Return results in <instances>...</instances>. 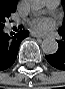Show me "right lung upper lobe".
<instances>
[{"instance_id":"right-lung-upper-lobe-1","label":"right lung upper lobe","mask_w":65,"mask_h":89,"mask_svg":"<svg viewBox=\"0 0 65 89\" xmlns=\"http://www.w3.org/2000/svg\"><path fill=\"white\" fill-rule=\"evenodd\" d=\"M18 0H0V6L13 9L15 11Z\"/></svg>"}]
</instances>
